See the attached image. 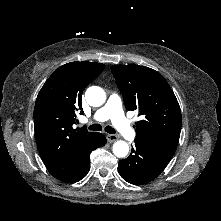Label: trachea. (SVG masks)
Wrapping results in <instances>:
<instances>
[{
  "label": "trachea",
  "mask_w": 221,
  "mask_h": 221,
  "mask_svg": "<svg viewBox=\"0 0 221 221\" xmlns=\"http://www.w3.org/2000/svg\"><path fill=\"white\" fill-rule=\"evenodd\" d=\"M88 128L93 131L102 130V126L100 124H93V125H90ZM104 130L110 134H115L116 132L111 126H106Z\"/></svg>",
  "instance_id": "3493384b"
}]
</instances>
